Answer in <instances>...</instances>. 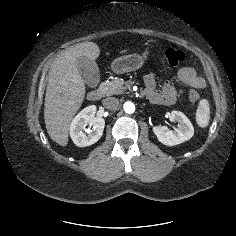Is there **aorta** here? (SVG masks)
Returning a JSON list of instances; mask_svg holds the SVG:
<instances>
[{"mask_svg":"<svg viewBox=\"0 0 236 236\" xmlns=\"http://www.w3.org/2000/svg\"><path fill=\"white\" fill-rule=\"evenodd\" d=\"M124 111L128 114L134 113L135 111V105L134 103L127 101L123 105Z\"/></svg>","mask_w":236,"mask_h":236,"instance_id":"1","label":"aorta"}]
</instances>
